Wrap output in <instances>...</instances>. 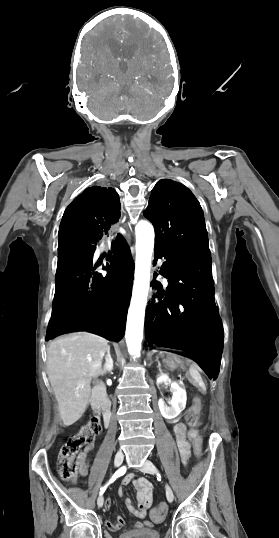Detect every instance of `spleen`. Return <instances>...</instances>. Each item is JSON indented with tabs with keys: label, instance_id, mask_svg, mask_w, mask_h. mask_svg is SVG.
Masks as SVG:
<instances>
[{
	"label": "spleen",
	"instance_id": "1",
	"mask_svg": "<svg viewBox=\"0 0 279 538\" xmlns=\"http://www.w3.org/2000/svg\"><path fill=\"white\" fill-rule=\"evenodd\" d=\"M187 362H189V360H187ZM190 374L191 376H193V379L196 381L197 386L200 389V393H205L203 380L200 378V375H198L196 368H190Z\"/></svg>",
	"mask_w": 279,
	"mask_h": 538
}]
</instances>
